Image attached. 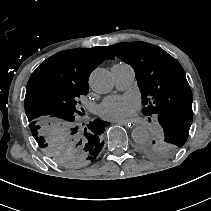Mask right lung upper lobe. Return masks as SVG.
I'll use <instances>...</instances> for the list:
<instances>
[{
  "mask_svg": "<svg viewBox=\"0 0 211 211\" xmlns=\"http://www.w3.org/2000/svg\"><path fill=\"white\" fill-rule=\"evenodd\" d=\"M114 59L107 47L61 51L43 61L32 73L26 88L25 112L30 119L34 93L44 86L71 87L88 93L91 72L104 60Z\"/></svg>",
  "mask_w": 211,
  "mask_h": 211,
  "instance_id": "right-lung-upper-lobe-1",
  "label": "right lung upper lobe"
}]
</instances>
